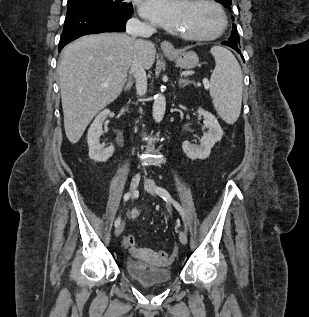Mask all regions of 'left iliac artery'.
Masks as SVG:
<instances>
[{"label": "left iliac artery", "instance_id": "44dca946", "mask_svg": "<svg viewBox=\"0 0 309 317\" xmlns=\"http://www.w3.org/2000/svg\"><path fill=\"white\" fill-rule=\"evenodd\" d=\"M156 193L162 198L164 199L166 202L172 203L173 206L178 210V212L181 214L184 224H185V230H187V226H186V222H185V213L183 208L181 207V205L175 201L171 195L169 194V192L163 188V187H157L156 188Z\"/></svg>", "mask_w": 309, "mask_h": 317}]
</instances>
